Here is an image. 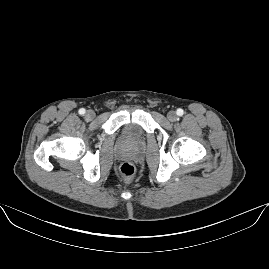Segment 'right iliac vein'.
Returning <instances> with one entry per match:
<instances>
[{"label": "right iliac vein", "instance_id": "1", "mask_svg": "<svg viewBox=\"0 0 269 269\" xmlns=\"http://www.w3.org/2000/svg\"><path fill=\"white\" fill-rule=\"evenodd\" d=\"M95 116L96 114L93 110H88L85 115L87 120H92L93 118H95Z\"/></svg>", "mask_w": 269, "mask_h": 269}]
</instances>
